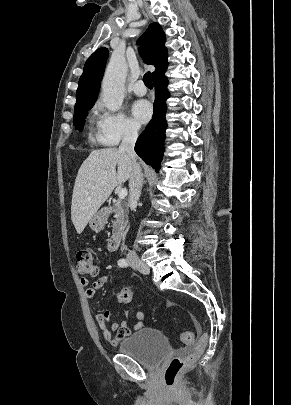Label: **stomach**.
<instances>
[{"mask_svg": "<svg viewBox=\"0 0 291 405\" xmlns=\"http://www.w3.org/2000/svg\"><path fill=\"white\" fill-rule=\"evenodd\" d=\"M108 218V212L105 209L97 211L89 221V227L95 231L99 232L103 230Z\"/></svg>", "mask_w": 291, "mask_h": 405, "instance_id": "stomach-1", "label": "stomach"}]
</instances>
